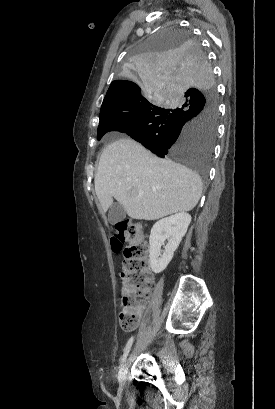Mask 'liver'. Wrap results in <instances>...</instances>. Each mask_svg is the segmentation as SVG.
Here are the masks:
<instances>
[{
  "label": "liver",
  "mask_w": 275,
  "mask_h": 409,
  "mask_svg": "<svg viewBox=\"0 0 275 409\" xmlns=\"http://www.w3.org/2000/svg\"><path fill=\"white\" fill-rule=\"evenodd\" d=\"M94 184L103 213L116 198L128 217L145 221L192 211L202 194L197 172L158 158L127 136L104 148Z\"/></svg>",
  "instance_id": "6515ba94"
}]
</instances>
